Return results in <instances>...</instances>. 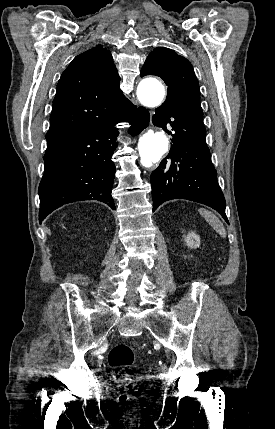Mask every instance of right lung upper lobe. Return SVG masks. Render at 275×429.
Instances as JSON below:
<instances>
[{
    "label": "right lung upper lobe",
    "instance_id": "1",
    "mask_svg": "<svg viewBox=\"0 0 275 429\" xmlns=\"http://www.w3.org/2000/svg\"><path fill=\"white\" fill-rule=\"evenodd\" d=\"M119 83L111 53L102 46L76 56L58 82L47 141L118 117L130 103Z\"/></svg>",
    "mask_w": 275,
    "mask_h": 429
}]
</instances>
